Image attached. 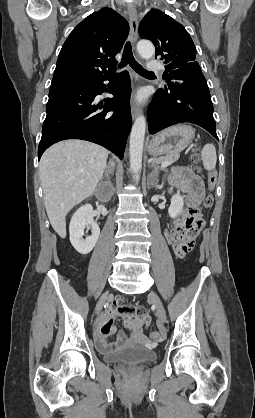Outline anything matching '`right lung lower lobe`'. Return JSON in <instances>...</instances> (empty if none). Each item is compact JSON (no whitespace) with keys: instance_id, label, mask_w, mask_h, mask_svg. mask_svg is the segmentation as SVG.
<instances>
[{"instance_id":"right-lung-lower-lobe-1","label":"right lung lower lobe","mask_w":255,"mask_h":418,"mask_svg":"<svg viewBox=\"0 0 255 418\" xmlns=\"http://www.w3.org/2000/svg\"><path fill=\"white\" fill-rule=\"evenodd\" d=\"M106 86L114 98L97 104L95 97L107 91ZM130 92L127 71L122 76L51 85L38 158L56 142L82 139L102 145L122 159L131 130Z\"/></svg>"}]
</instances>
